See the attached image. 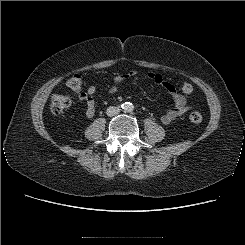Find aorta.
<instances>
[{
  "mask_svg": "<svg viewBox=\"0 0 245 245\" xmlns=\"http://www.w3.org/2000/svg\"><path fill=\"white\" fill-rule=\"evenodd\" d=\"M123 109L126 112H132L134 110V105L132 103L127 102L123 105Z\"/></svg>",
  "mask_w": 245,
  "mask_h": 245,
  "instance_id": "obj_1",
  "label": "aorta"
}]
</instances>
